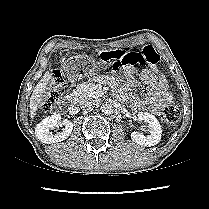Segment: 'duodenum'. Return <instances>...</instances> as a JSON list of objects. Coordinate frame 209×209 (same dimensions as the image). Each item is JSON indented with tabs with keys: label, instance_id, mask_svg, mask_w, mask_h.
I'll use <instances>...</instances> for the list:
<instances>
[{
	"label": "duodenum",
	"instance_id": "1",
	"mask_svg": "<svg viewBox=\"0 0 209 209\" xmlns=\"http://www.w3.org/2000/svg\"><path fill=\"white\" fill-rule=\"evenodd\" d=\"M77 101V96L76 94L72 93V94H68L65 98H64V104L70 108L74 107Z\"/></svg>",
	"mask_w": 209,
	"mask_h": 209
}]
</instances>
